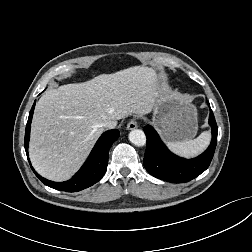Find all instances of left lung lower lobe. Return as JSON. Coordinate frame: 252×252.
Returning a JSON list of instances; mask_svg holds the SVG:
<instances>
[{"mask_svg":"<svg viewBox=\"0 0 252 252\" xmlns=\"http://www.w3.org/2000/svg\"><path fill=\"white\" fill-rule=\"evenodd\" d=\"M209 124L212 129V140L209 147L194 159L180 158L171 153L163 144L155 129L147 125L143 128L146 137L144 166L156 178L173 183L188 182L203 173L211 163L216 143L217 124L210 108Z\"/></svg>","mask_w":252,"mask_h":252,"instance_id":"0a47b994","label":"left lung lower lobe"}]
</instances>
